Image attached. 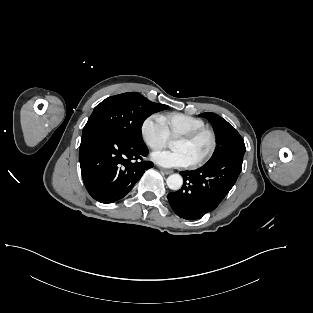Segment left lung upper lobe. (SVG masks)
Returning <instances> with one entry per match:
<instances>
[{
    "instance_id": "left-lung-upper-lobe-1",
    "label": "left lung upper lobe",
    "mask_w": 313,
    "mask_h": 313,
    "mask_svg": "<svg viewBox=\"0 0 313 313\" xmlns=\"http://www.w3.org/2000/svg\"><path fill=\"white\" fill-rule=\"evenodd\" d=\"M199 116L207 118L217 134V146L208 162L231 155H244V140L225 119L215 113H202Z\"/></svg>"
}]
</instances>
